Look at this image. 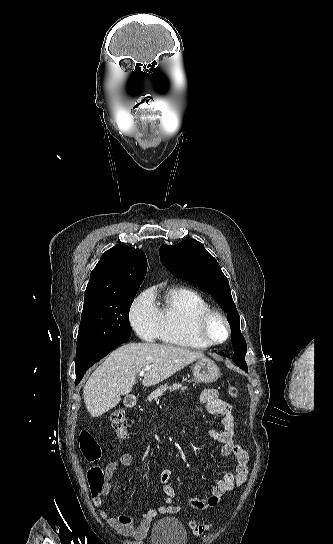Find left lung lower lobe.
Segmentation results:
<instances>
[{"label":"left lung lower lobe","mask_w":333,"mask_h":544,"mask_svg":"<svg viewBox=\"0 0 333 544\" xmlns=\"http://www.w3.org/2000/svg\"><path fill=\"white\" fill-rule=\"evenodd\" d=\"M242 369H243V368H242ZM243 370H245V371L247 372V369H243Z\"/></svg>","instance_id":"left-lung-lower-lobe-1"}]
</instances>
